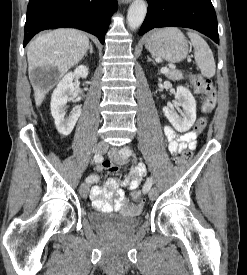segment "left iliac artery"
Returning a JSON list of instances; mask_svg holds the SVG:
<instances>
[{
    "mask_svg": "<svg viewBox=\"0 0 247 275\" xmlns=\"http://www.w3.org/2000/svg\"><path fill=\"white\" fill-rule=\"evenodd\" d=\"M132 154V150L131 149H126V150H121V155L125 158L129 157ZM153 184V178L149 177L146 181V183L143 186V189L145 192H148Z\"/></svg>",
    "mask_w": 247,
    "mask_h": 275,
    "instance_id": "44dca946",
    "label": "left iliac artery"
}]
</instances>
